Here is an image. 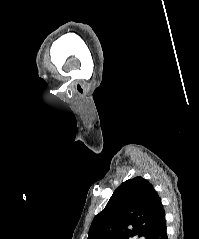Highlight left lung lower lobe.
Instances as JSON below:
<instances>
[{"label": "left lung lower lobe", "mask_w": 199, "mask_h": 239, "mask_svg": "<svg viewBox=\"0 0 199 239\" xmlns=\"http://www.w3.org/2000/svg\"><path fill=\"white\" fill-rule=\"evenodd\" d=\"M146 239H168L166 232V221L164 210L159 214V216L155 220Z\"/></svg>", "instance_id": "left-lung-lower-lobe-1"}]
</instances>
